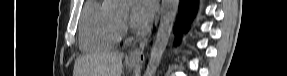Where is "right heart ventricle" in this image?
Listing matches in <instances>:
<instances>
[{"label":"right heart ventricle","instance_id":"right-heart-ventricle-1","mask_svg":"<svg viewBox=\"0 0 287 76\" xmlns=\"http://www.w3.org/2000/svg\"><path fill=\"white\" fill-rule=\"evenodd\" d=\"M118 18L105 1H87L82 12L79 41L84 51H101L113 48L121 38Z\"/></svg>","mask_w":287,"mask_h":76}]
</instances>
